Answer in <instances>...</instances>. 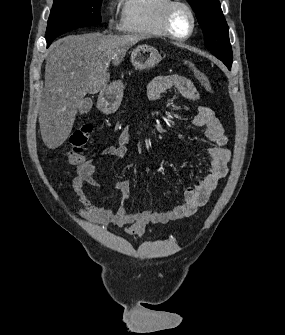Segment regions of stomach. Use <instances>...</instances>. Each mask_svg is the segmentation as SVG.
Listing matches in <instances>:
<instances>
[{
    "label": "stomach",
    "mask_w": 285,
    "mask_h": 335,
    "mask_svg": "<svg viewBox=\"0 0 285 335\" xmlns=\"http://www.w3.org/2000/svg\"><path fill=\"white\" fill-rule=\"evenodd\" d=\"M162 58L152 46H138L131 52V62L137 70H147L154 68L161 62ZM123 86L121 82H112L99 96V106H104V110H117L122 100Z\"/></svg>",
    "instance_id": "obj_1"
}]
</instances>
